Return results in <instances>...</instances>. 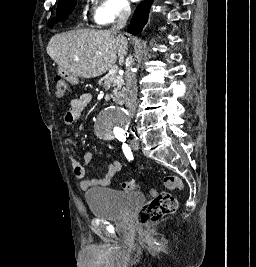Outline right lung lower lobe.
Returning a JSON list of instances; mask_svg holds the SVG:
<instances>
[{
	"label": "right lung lower lobe",
	"instance_id": "98d812e1",
	"mask_svg": "<svg viewBox=\"0 0 256 267\" xmlns=\"http://www.w3.org/2000/svg\"><path fill=\"white\" fill-rule=\"evenodd\" d=\"M153 0H145L137 6L135 13L131 19L129 32L133 35L141 33L144 25L148 20L149 9Z\"/></svg>",
	"mask_w": 256,
	"mask_h": 267
}]
</instances>
